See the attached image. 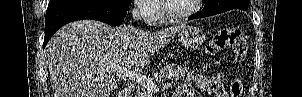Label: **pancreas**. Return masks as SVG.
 <instances>
[{"label": "pancreas", "mask_w": 302, "mask_h": 97, "mask_svg": "<svg viewBox=\"0 0 302 97\" xmlns=\"http://www.w3.org/2000/svg\"><path fill=\"white\" fill-rule=\"evenodd\" d=\"M188 69L185 66L180 65H167L163 69L160 70L158 76L156 77V81H163L165 79L177 81L183 78ZM141 92H138V97H152V92L146 88H141Z\"/></svg>", "instance_id": "obj_1"}]
</instances>
